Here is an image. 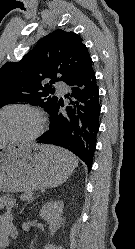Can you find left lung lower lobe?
I'll list each match as a JSON object with an SVG mask.
<instances>
[{
	"label": "left lung lower lobe",
	"mask_w": 135,
	"mask_h": 249,
	"mask_svg": "<svg viewBox=\"0 0 135 249\" xmlns=\"http://www.w3.org/2000/svg\"><path fill=\"white\" fill-rule=\"evenodd\" d=\"M70 106L62 112L63 100H58L50 114V129L39 137V143L53 144L72 151L90 170L99 130V89L92 63L76 80L68 83Z\"/></svg>",
	"instance_id": "left-lung-lower-lobe-1"
}]
</instances>
